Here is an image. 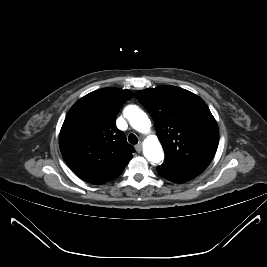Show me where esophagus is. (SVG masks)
Instances as JSON below:
<instances>
[{"label": "esophagus", "instance_id": "34e87169", "mask_svg": "<svg viewBox=\"0 0 267 267\" xmlns=\"http://www.w3.org/2000/svg\"><path fill=\"white\" fill-rule=\"evenodd\" d=\"M135 149L138 153H140L142 151V145L141 144H138L135 146Z\"/></svg>", "mask_w": 267, "mask_h": 267}]
</instances>
